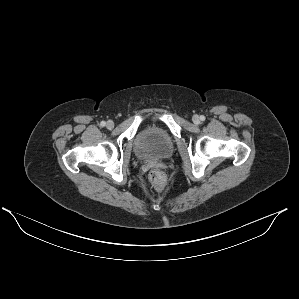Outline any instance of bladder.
Returning <instances> with one entry per match:
<instances>
[{
    "label": "bladder",
    "instance_id": "31cf9c89",
    "mask_svg": "<svg viewBox=\"0 0 299 299\" xmlns=\"http://www.w3.org/2000/svg\"><path fill=\"white\" fill-rule=\"evenodd\" d=\"M134 147L141 160L160 161L173 156L175 142L164 126L151 123L139 130L134 140Z\"/></svg>",
    "mask_w": 299,
    "mask_h": 299
}]
</instances>
